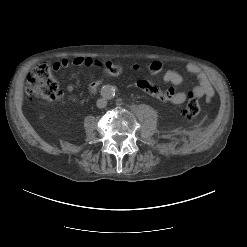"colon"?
<instances>
[{"label":"colon","mask_w":247,"mask_h":247,"mask_svg":"<svg viewBox=\"0 0 247 247\" xmlns=\"http://www.w3.org/2000/svg\"><path fill=\"white\" fill-rule=\"evenodd\" d=\"M99 70L107 75H118L121 67L112 62H96ZM26 93L30 97L52 100L60 95L59 85L52 75L51 67L47 63L37 65L28 75L26 82ZM201 96L192 90L188 93L185 105L181 113L186 118H193L200 112Z\"/></svg>","instance_id":"1"}]
</instances>
